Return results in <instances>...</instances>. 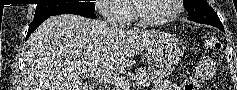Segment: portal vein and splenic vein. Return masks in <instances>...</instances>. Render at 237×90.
I'll return each instance as SVG.
<instances>
[{"mask_svg": "<svg viewBox=\"0 0 237 90\" xmlns=\"http://www.w3.org/2000/svg\"><path fill=\"white\" fill-rule=\"evenodd\" d=\"M81 70V68H80ZM81 72H86V70H81ZM91 78H103L104 82H110L113 84L115 88H119V90H129L131 84L126 82L125 78H119L116 74H106V76H102V74H90Z\"/></svg>", "mask_w": 237, "mask_h": 90, "instance_id": "obj_1", "label": "portal vein and splenic vein"}]
</instances>
